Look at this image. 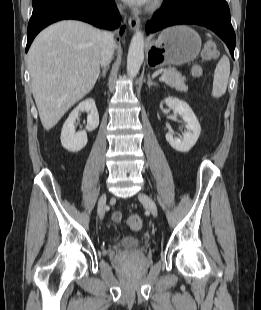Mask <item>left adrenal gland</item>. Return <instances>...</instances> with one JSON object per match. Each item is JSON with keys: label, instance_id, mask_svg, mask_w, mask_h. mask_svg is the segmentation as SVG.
I'll return each mask as SVG.
<instances>
[{"label": "left adrenal gland", "instance_id": "left-adrenal-gland-1", "mask_svg": "<svg viewBox=\"0 0 261 310\" xmlns=\"http://www.w3.org/2000/svg\"><path fill=\"white\" fill-rule=\"evenodd\" d=\"M147 78H148L147 85H148L149 88L152 87V86H158V84L156 82L151 80L150 74H148Z\"/></svg>", "mask_w": 261, "mask_h": 310}]
</instances>
